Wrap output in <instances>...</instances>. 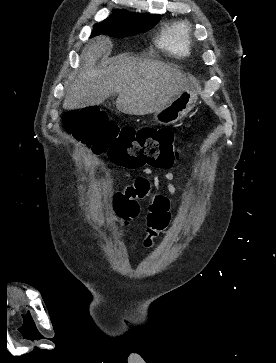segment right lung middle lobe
I'll return each mask as SVG.
<instances>
[{
	"instance_id": "obj_1",
	"label": "right lung middle lobe",
	"mask_w": 276,
	"mask_h": 363,
	"mask_svg": "<svg viewBox=\"0 0 276 363\" xmlns=\"http://www.w3.org/2000/svg\"><path fill=\"white\" fill-rule=\"evenodd\" d=\"M159 20L160 15L137 14L115 10L109 18L94 25L92 36L100 34H107L113 37L136 35L148 31Z\"/></svg>"
}]
</instances>
